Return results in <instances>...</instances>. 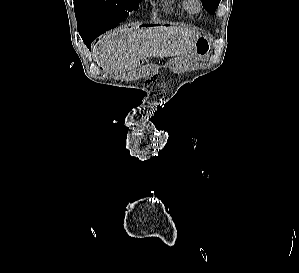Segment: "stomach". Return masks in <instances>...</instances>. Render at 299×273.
<instances>
[{"instance_id": "0dacf381", "label": "stomach", "mask_w": 299, "mask_h": 273, "mask_svg": "<svg viewBox=\"0 0 299 273\" xmlns=\"http://www.w3.org/2000/svg\"><path fill=\"white\" fill-rule=\"evenodd\" d=\"M211 52V39L206 34H199L194 41V53L199 58H206Z\"/></svg>"}]
</instances>
